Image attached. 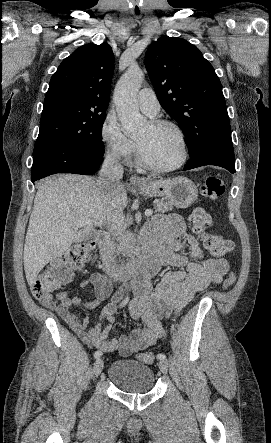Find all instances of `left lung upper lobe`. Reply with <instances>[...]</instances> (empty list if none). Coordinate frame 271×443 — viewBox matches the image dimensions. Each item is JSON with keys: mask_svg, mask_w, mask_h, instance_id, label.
Returning a JSON list of instances; mask_svg holds the SVG:
<instances>
[{"mask_svg": "<svg viewBox=\"0 0 271 443\" xmlns=\"http://www.w3.org/2000/svg\"><path fill=\"white\" fill-rule=\"evenodd\" d=\"M145 66L159 102L186 137L190 157L213 145L232 147L220 80L196 46L162 36L148 47Z\"/></svg>", "mask_w": 271, "mask_h": 443, "instance_id": "5c2ea615", "label": "left lung upper lobe"}]
</instances>
